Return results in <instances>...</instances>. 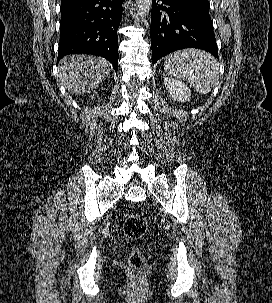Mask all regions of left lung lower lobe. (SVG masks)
<instances>
[{
    "label": "left lung lower lobe",
    "instance_id": "obj_1",
    "mask_svg": "<svg viewBox=\"0 0 272 303\" xmlns=\"http://www.w3.org/2000/svg\"><path fill=\"white\" fill-rule=\"evenodd\" d=\"M208 0H153L151 48L153 64L183 48H199L218 58Z\"/></svg>",
    "mask_w": 272,
    "mask_h": 303
}]
</instances>
